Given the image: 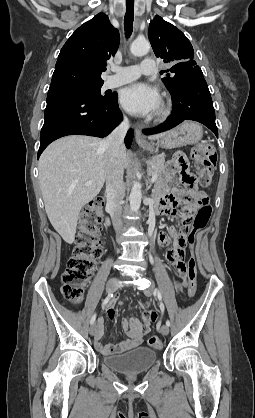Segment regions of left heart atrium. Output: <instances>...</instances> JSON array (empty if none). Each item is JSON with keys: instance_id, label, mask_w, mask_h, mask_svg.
<instances>
[{"instance_id": "39dd6f15", "label": "left heart atrium", "mask_w": 255, "mask_h": 418, "mask_svg": "<svg viewBox=\"0 0 255 418\" xmlns=\"http://www.w3.org/2000/svg\"><path fill=\"white\" fill-rule=\"evenodd\" d=\"M120 101L125 110L138 116L151 114L161 105L158 90L146 83H135L125 88Z\"/></svg>"}]
</instances>
